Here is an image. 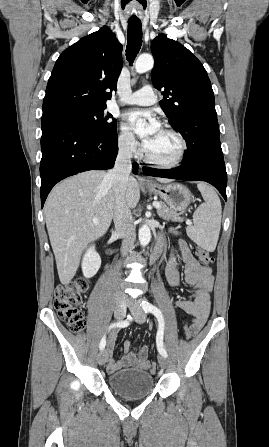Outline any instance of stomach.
<instances>
[{
	"mask_svg": "<svg viewBox=\"0 0 269 447\" xmlns=\"http://www.w3.org/2000/svg\"><path fill=\"white\" fill-rule=\"evenodd\" d=\"M148 190L160 196L176 212H183L191 204L192 194L190 190L185 186H180V184H168V186L152 184V186H148Z\"/></svg>",
	"mask_w": 269,
	"mask_h": 447,
	"instance_id": "stomach-1",
	"label": "stomach"
}]
</instances>
